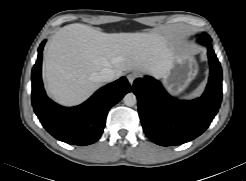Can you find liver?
I'll use <instances>...</instances> for the list:
<instances>
[{
    "label": "liver",
    "instance_id": "liver-1",
    "mask_svg": "<svg viewBox=\"0 0 246 181\" xmlns=\"http://www.w3.org/2000/svg\"><path fill=\"white\" fill-rule=\"evenodd\" d=\"M172 54L170 39L159 33H103L83 24L62 27L52 37L43 61L48 94L58 103L77 105L100 82L96 74L111 68L161 77Z\"/></svg>",
    "mask_w": 246,
    "mask_h": 181
}]
</instances>
